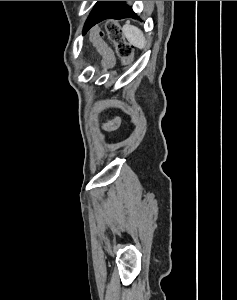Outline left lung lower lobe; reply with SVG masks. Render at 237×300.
<instances>
[{"label":"left lung lower lobe","instance_id":"obj_1","mask_svg":"<svg viewBox=\"0 0 237 300\" xmlns=\"http://www.w3.org/2000/svg\"><path fill=\"white\" fill-rule=\"evenodd\" d=\"M134 15L135 13L127 7L125 1H109L102 12L90 22L88 30L105 19H123Z\"/></svg>","mask_w":237,"mask_h":300}]
</instances>
